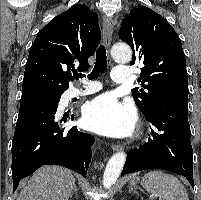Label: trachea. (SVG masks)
I'll list each match as a JSON object with an SVG mask.
<instances>
[{
	"label": "trachea",
	"instance_id": "3493384b",
	"mask_svg": "<svg viewBox=\"0 0 201 200\" xmlns=\"http://www.w3.org/2000/svg\"><path fill=\"white\" fill-rule=\"evenodd\" d=\"M107 68V56L106 49L103 45H100L96 51V62L92 72L88 75V79L92 80L96 78L100 73H103ZM74 78L79 79L85 77L84 74L75 73Z\"/></svg>",
	"mask_w": 201,
	"mask_h": 200
}]
</instances>
